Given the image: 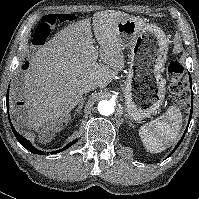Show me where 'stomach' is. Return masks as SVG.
<instances>
[{
    "mask_svg": "<svg viewBox=\"0 0 199 199\" xmlns=\"http://www.w3.org/2000/svg\"><path fill=\"white\" fill-rule=\"evenodd\" d=\"M121 47L130 48L127 80L123 87L125 109L135 121L155 114L165 98L162 76L167 60L168 40L154 24L139 17H127L117 25Z\"/></svg>",
    "mask_w": 199,
    "mask_h": 199,
    "instance_id": "stomach-1",
    "label": "stomach"
}]
</instances>
